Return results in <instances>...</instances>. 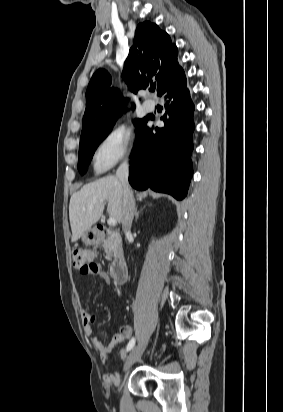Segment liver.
<instances>
[{"label":"liver","instance_id":"liver-1","mask_svg":"<svg viewBox=\"0 0 283 412\" xmlns=\"http://www.w3.org/2000/svg\"><path fill=\"white\" fill-rule=\"evenodd\" d=\"M122 197L123 189L116 176H107L86 184L74 193L69 203L72 242H76L98 222L105 203L110 217L122 223Z\"/></svg>","mask_w":283,"mask_h":412}]
</instances>
